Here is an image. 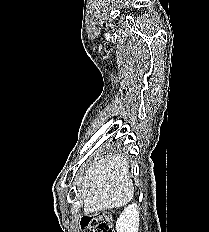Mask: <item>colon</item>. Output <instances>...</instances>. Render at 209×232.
Returning <instances> with one entry per match:
<instances>
[{"label":"colon","instance_id":"colon-1","mask_svg":"<svg viewBox=\"0 0 209 232\" xmlns=\"http://www.w3.org/2000/svg\"><path fill=\"white\" fill-rule=\"evenodd\" d=\"M80 227L88 232H115L112 215L106 211H97L83 216Z\"/></svg>","mask_w":209,"mask_h":232}]
</instances>
